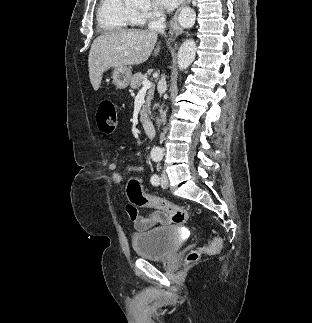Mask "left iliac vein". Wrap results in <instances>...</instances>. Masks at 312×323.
Listing matches in <instances>:
<instances>
[{
  "mask_svg": "<svg viewBox=\"0 0 312 323\" xmlns=\"http://www.w3.org/2000/svg\"><path fill=\"white\" fill-rule=\"evenodd\" d=\"M161 186H162V188L168 187V178H167V174L165 171H163L161 174Z\"/></svg>",
  "mask_w": 312,
  "mask_h": 323,
  "instance_id": "left-iliac-vein-1",
  "label": "left iliac vein"
}]
</instances>
